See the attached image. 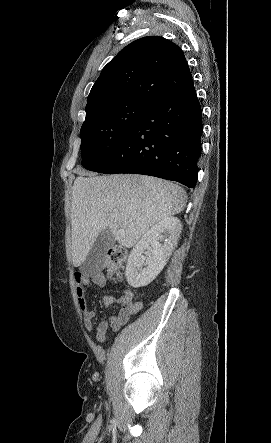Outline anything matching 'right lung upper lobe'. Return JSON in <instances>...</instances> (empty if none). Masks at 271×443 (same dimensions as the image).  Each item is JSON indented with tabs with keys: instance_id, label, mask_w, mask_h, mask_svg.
<instances>
[{
	"instance_id": "cb5924a9",
	"label": "right lung upper lobe",
	"mask_w": 271,
	"mask_h": 443,
	"mask_svg": "<svg viewBox=\"0 0 271 443\" xmlns=\"http://www.w3.org/2000/svg\"><path fill=\"white\" fill-rule=\"evenodd\" d=\"M193 85L184 53L158 36L123 48L102 70L86 105V118L100 105L126 99L153 102Z\"/></svg>"
}]
</instances>
